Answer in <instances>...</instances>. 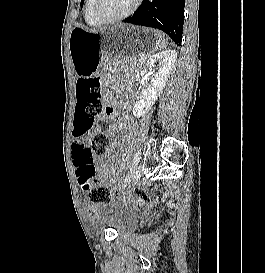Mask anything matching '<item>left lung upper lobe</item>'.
Listing matches in <instances>:
<instances>
[{"instance_id":"left-lung-upper-lobe-1","label":"left lung upper lobe","mask_w":265,"mask_h":273,"mask_svg":"<svg viewBox=\"0 0 265 273\" xmlns=\"http://www.w3.org/2000/svg\"><path fill=\"white\" fill-rule=\"evenodd\" d=\"M84 0L81 1V4H83Z\"/></svg>"}]
</instances>
